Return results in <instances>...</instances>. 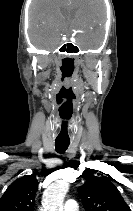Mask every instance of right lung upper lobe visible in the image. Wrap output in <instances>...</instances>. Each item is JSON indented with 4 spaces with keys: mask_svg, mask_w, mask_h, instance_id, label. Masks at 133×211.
<instances>
[{
    "mask_svg": "<svg viewBox=\"0 0 133 211\" xmlns=\"http://www.w3.org/2000/svg\"><path fill=\"white\" fill-rule=\"evenodd\" d=\"M38 183L33 175L13 182L0 198V211H33Z\"/></svg>",
    "mask_w": 133,
    "mask_h": 211,
    "instance_id": "cb5924a9",
    "label": "right lung upper lobe"
}]
</instances>
